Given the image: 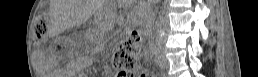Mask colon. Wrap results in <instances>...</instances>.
Masks as SVG:
<instances>
[{
  "label": "colon",
  "mask_w": 258,
  "mask_h": 77,
  "mask_svg": "<svg viewBox=\"0 0 258 77\" xmlns=\"http://www.w3.org/2000/svg\"><path fill=\"white\" fill-rule=\"evenodd\" d=\"M49 32V22L45 14H39L34 27V39L36 42H43L47 39ZM136 33V34H135ZM141 40L138 31L122 41L113 55V66L119 71H130L135 65V51Z\"/></svg>",
  "instance_id": "1"
}]
</instances>
